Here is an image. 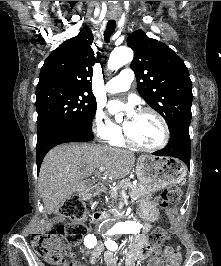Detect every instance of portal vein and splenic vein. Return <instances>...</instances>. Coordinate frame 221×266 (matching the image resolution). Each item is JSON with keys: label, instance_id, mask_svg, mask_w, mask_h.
Listing matches in <instances>:
<instances>
[{"label": "portal vein and splenic vein", "instance_id": "obj_1", "mask_svg": "<svg viewBox=\"0 0 221 266\" xmlns=\"http://www.w3.org/2000/svg\"><path fill=\"white\" fill-rule=\"evenodd\" d=\"M104 170H105V167H103V166L102 167H99V171L100 172H103ZM122 192H124V189H122Z\"/></svg>", "mask_w": 221, "mask_h": 266}]
</instances>
